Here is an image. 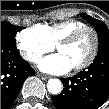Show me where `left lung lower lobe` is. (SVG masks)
<instances>
[{"label": "left lung lower lobe", "instance_id": "0a47b994", "mask_svg": "<svg viewBox=\"0 0 109 109\" xmlns=\"http://www.w3.org/2000/svg\"><path fill=\"white\" fill-rule=\"evenodd\" d=\"M61 80L62 93L52 97L57 109H98L109 99V50L98 52L86 71Z\"/></svg>", "mask_w": 109, "mask_h": 109}]
</instances>
